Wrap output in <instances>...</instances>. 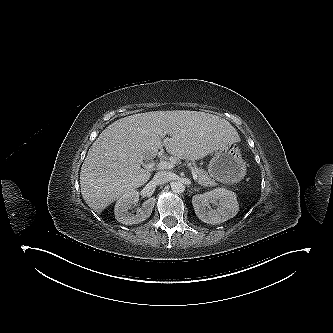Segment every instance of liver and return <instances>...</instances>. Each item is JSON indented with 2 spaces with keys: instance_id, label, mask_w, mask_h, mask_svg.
Returning <instances> with one entry per match:
<instances>
[{
  "instance_id": "liver-1",
  "label": "liver",
  "mask_w": 333,
  "mask_h": 333,
  "mask_svg": "<svg viewBox=\"0 0 333 333\" xmlns=\"http://www.w3.org/2000/svg\"><path fill=\"white\" fill-rule=\"evenodd\" d=\"M239 141L228 121L204 112L152 111L121 118L101 132L87 153L80 172L82 197L99 214L149 180L151 173L141 162L153 159L163 146L177 158L199 160Z\"/></svg>"
}]
</instances>
